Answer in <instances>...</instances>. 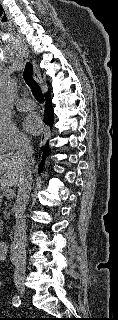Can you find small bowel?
<instances>
[{"label": "small bowel", "instance_id": "small-bowel-1", "mask_svg": "<svg viewBox=\"0 0 118 320\" xmlns=\"http://www.w3.org/2000/svg\"><path fill=\"white\" fill-rule=\"evenodd\" d=\"M0 287H1V279H0Z\"/></svg>", "mask_w": 118, "mask_h": 320}]
</instances>
